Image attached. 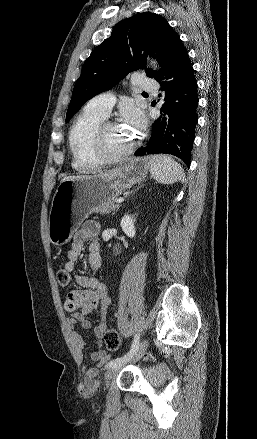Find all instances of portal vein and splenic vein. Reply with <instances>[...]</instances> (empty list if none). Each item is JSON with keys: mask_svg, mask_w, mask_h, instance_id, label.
<instances>
[{"mask_svg": "<svg viewBox=\"0 0 257 439\" xmlns=\"http://www.w3.org/2000/svg\"><path fill=\"white\" fill-rule=\"evenodd\" d=\"M123 200H124L123 198H118V199L115 200V202L116 203H121V202H123Z\"/></svg>", "mask_w": 257, "mask_h": 439, "instance_id": "18ae733b", "label": "portal vein and splenic vein"}]
</instances>
